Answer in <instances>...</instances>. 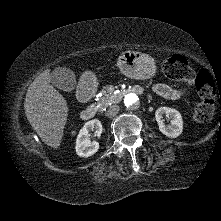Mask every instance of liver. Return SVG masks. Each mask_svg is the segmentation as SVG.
Wrapping results in <instances>:
<instances>
[{
    "instance_id": "6515ba94",
    "label": "liver",
    "mask_w": 221,
    "mask_h": 221,
    "mask_svg": "<svg viewBox=\"0 0 221 221\" xmlns=\"http://www.w3.org/2000/svg\"><path fill=\"white\" fill-rule=\"evenodd\" d=\"M50 70L30 84L24 102L26 117L41 140L52 148L60 146L69 108L65 98L50 84Z\"/></svg>"
}]
</instances>
